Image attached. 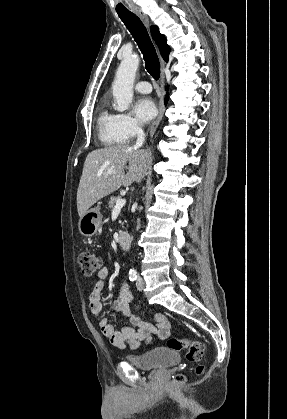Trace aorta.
<instances>
[{
	"instance_id": "1",
	"label": "aorta",
	"mask_w": 287,
	"mask_h": 419,
	"mask_svg": "<svg viewBox=\"0 0 287 419\" xmlns=\"http://www.w3.org/2000/svg\"><path fill=\"white\" fill-rule=\"evenodd\" d=\"M140 58L137 54H127L123 57L112 84L116 109L124 112L133 99V84Z\"/></svg>"
}]
</instances>
